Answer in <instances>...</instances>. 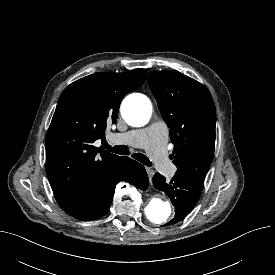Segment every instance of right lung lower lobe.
<instances>
[{
  "label": "right lung lower lobe",
  "instance_id": "98d812e1",
  "mask_svg": "<svg viewBox=\"0 0 275 275\" xmlns=\"http://www.w3.org/2000/svg\"><path fill=\"white\" fill-rule=\"evenodd\" d=\"M120 181L129 182L142 190H145L149 184L144 166L128 157H122L111 176L92 189L83 206L69 215L83 221L101 218L108 212L115 186Z\"/></svg>",
  "mask_w": 275,
  "mask_h": 275
}]
</instances>
